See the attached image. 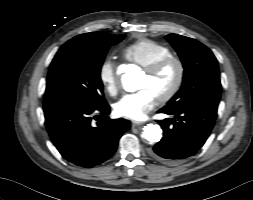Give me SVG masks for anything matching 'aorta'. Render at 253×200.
I'll list each match as a JSON object with an SVG mask.
<instances>
[{
  "mask_svg": "<svg viewBox=\"0 0 253 200\" xmlns=\"http://www.w3.org/2000/svg\"><path fill=\"white\" fill-rule=\"evenodd\" d=\"M121 81L123 88L128 92H134L139 89L137 75L134 72L125 73L122 76ZM143 130L142 136L151 143L159 142L162 138V129L157 124H147Z\"/></svg>",
  "mask_w": 253,
  "mask_h": 200,
  "instance_id": "1",
  "label": "aorta"
}]
</instances>
